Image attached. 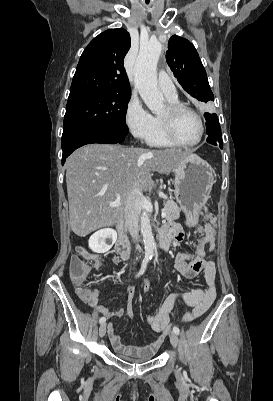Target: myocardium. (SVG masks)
<instances>
[{
  "label": "myocardium",
  "instance_id": "myocardium-1",
  "mask_svg": "<svg viewBox=\"0 0 273 401\" xmlns=\"http://www.w3.org/2000/svg\"><path fill=\"white\" fill-rule=\"evenodd\" d=\"M168 111L170 113H177V112H182V111L188 112V113L194 115L198 119V121L200 123V127H201L200 137L196 141L184 142L177 137V135L174 131V125H173L172 119H170L168 117L160 116L159 118H160L162 128L164 130L166 137L170 141H172L173 143H175L176 145H178L180 147H193V146L200 144L203 141V139L205 138V135H206V125H205V121H204L202 115L199 112H197L195 109H193L183 103H179V102L178 103H169Z\"/></svg>",
  "mask_w": 273,
  "mask_h": 401
}]
</instances>
